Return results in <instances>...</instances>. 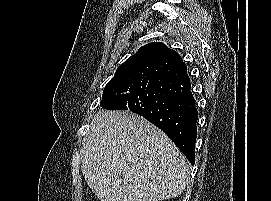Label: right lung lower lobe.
<instances>
[{"label": "right lung lower lobe", "instance_id": "obj_1", "mask_svg": "<svg viewBox=\"0 0 271 201\" xmlns=\"http://www.w3.org/2000/svg\"><path fill=\"white\" fill-rule=\"evenodd\" d=\"M145 90L126 98L119 110H130L163 130L192 165L195 163L198 112L187 67L175 51L150 69Z\"/></svg>", "mask_w": 271, "mask_h": 201}]
</instances>
